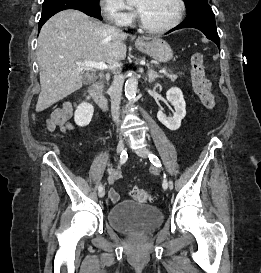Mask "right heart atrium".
<instances>
[{"label": "right heart atrium", "instance_id": "right-heart-atrium-1", "mask_svg": "<svg viewBox=\"0 0 261 273\" xmlns=\"http://www.w3.org/2000/svg\"><path fill=\"white\" fill-rule=\"evenodd\" d=\"M101 9L105 17L118 26L129 25L134 16L123 0H101Z\"/></svg>", "mask_w": 261, "mask_h": 273}]
</instances>
